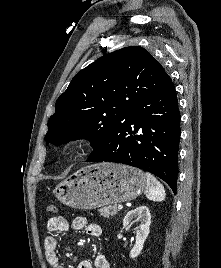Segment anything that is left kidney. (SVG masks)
Listing matches in <instances>:
<instances>
[{
    "mask_svg": "<svg viewBox=\"0 0 221 268\" xmlns=\"http://www.w3.org/2000/svg\"><path fill=\"white\" fill-rule=\"evenodd\" d=\"M133 220L141 222L139 228L135 232V245L130 251V257L136 258L141 253L144 242L150 232L151 214L148 207L140 206L129 211L123 219V226L129 228L130 223Z\"/></svg>",
    "mask_w": 221,
    "mask_h": 268,
    "instance_id": "obj_1",
    "label": "left kidney"
}]
</instances>
